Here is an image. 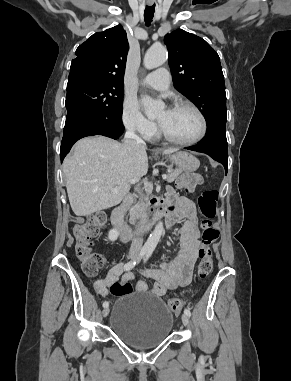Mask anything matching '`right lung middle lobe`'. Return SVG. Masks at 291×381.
I'll list each match as a JSON object with an SVG mask.
<instances>
[{"label":"right lung middle lobe","instance_id":"obj_1","mask_svg":"<svg viewBox=\"0 0 291 381\" xmlns=\"http://www.w3.org/2000/svg\"><path fill=\"white\" fill-rule=\"evenodd\" d=\"M123 86L74 80L67 84V116L77 114L88 122L121 119Z\"/></svg>","mask_w":291,"mask_h":381}]
</instances>
